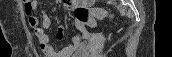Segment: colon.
<instances>
[{"instance_id":"obj_1","label":"colon","mask_w":172,"mask_h":57,"mask_svg":"<svg viewBox=\"0 0 172 57\" xmlns=\"http://www.w3.org/2000/svg\"><path fill=\"white\" fill-rule=\"evenodd\" d=\"M74 15L79 23L88 25L90 27H94L97 20L110 16V14L105 9L89 8L83 6L76 7Z\"/></svg>"}]
</instances>
